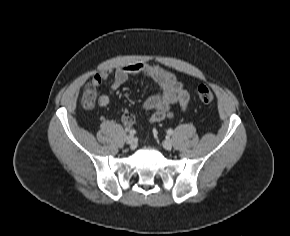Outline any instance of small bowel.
<instances>
[{
  "instance_id": "obj_1",
  "label": "small bowel",
  "mask_w": 290,
  "mask_h": 236,
  "mask_svg": "<svg viewBox=\"0 0 290 236\" xmlns=\"http://www.w3.org/2000/svg\"><path fill=\"white\" fill-rule=\"evenodd\" d=\"M137 75L149 79L157 88V91L143 105L145 110L151 112L150 122L156 123L170 118L173 115L171 111L173 105H177L181 110L188 107L189 93L182 83L177 80L174 74L156 65L131 63L115 69H106L94 75L91 83L97 87L112 77L109 92L114 94L131 76ZM109 103L110 97L108 95L103 94L98 97L99 107H106ZM121 118L127 126L135 124V117L128 110H122Z\"/></svg>"
}]
</instances>
